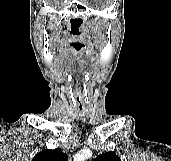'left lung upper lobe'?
Listing matches in <instances>:
<instances>
[{"instance_id":"1","label":"left lung upper lobe","mask_w":171,"mask_h":161,"mask_svg":"<svg viewBox=\"0 0 171 161\" xmlns=\"http://www.w3.org/2000/svg\"><path fill=\"white\" fill-rule=\"evenodd\" d=\"M95 161H121L114 153L106 152L96 158Z\"/></svg>"}]
</instances>
